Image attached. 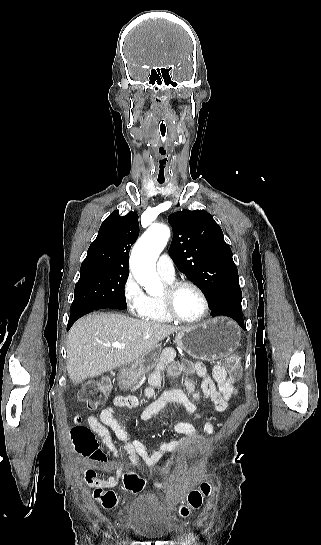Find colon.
Segmentation results:
<instances>
[{"mask_svg": "<svg viewBox=\"0 0 321 545\" xmlns=\"http://www.w3.org/2000/svg\"><path fill=\"white\" fill-rule=\"evenodd\" d=\"M223 366L227 369L232 379H237L240 374L239 358L230 354L223 360ZM107 386L103 382L90 381L87 382L79 393L80 400L89 409H95L100 406L106 399ZM79 422V417H77ZM72 438L79 452L83 454H92L97 452V444L91 430L86 426L77 424L71 430ZM124 485L127 489L138 492L144 486V481L135 473H128L124 476ZM211 492L209 483L204 482L198 489L191 490L186 499V503L181 507L180 514L187 516L190 509L199 508L205 497ZM94 497L98 499L104 508L112 509L118 504V495L113 490H104L96 488Z\"/></svg>", "mask_w": 321, "mask_h": 545, "instance_id": "obj_1", "label": "colon"}]
</instances>
